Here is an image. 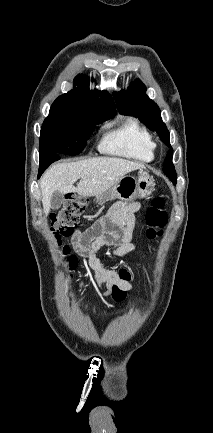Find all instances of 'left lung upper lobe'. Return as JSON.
Listing matches in <instances>:
<instances>
[{
    "mask_svg": "<svg viewBox=\"0 0 213 433\" xmlns=\"http://www.w3.org/2000/svg\"><path fill=\"white\" fill-rule=\"evenodd\" d=\"M145 92V85L139 79H136L127 91L121 90L115 92L113 95L120 113L138 118L148 128L156 131L162 141L170 147V134L161 119V111L158 105ZM172 156L173 151L171 148L164 161L163 171L172 183L176 185L177 178L172 163Z\"/></svg>",
    "mask_w": 213,
    "mask_h": 433,
    "instance_id": "5c2ea615",
    "label": "left lung upper lobe"
}]
</instances>
